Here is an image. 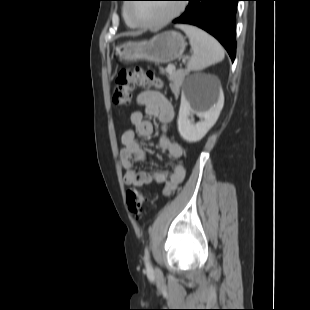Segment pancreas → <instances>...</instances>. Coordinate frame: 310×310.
<instances>
[{
    "label": "pancreas",
    "mask_w": 310,
    "mask_h": 310,
    "mask_svg": "<svg viewBox=\"0 0 310 310\" xmlns=\"http://www.w3.org/2000/svg\"><path fill=\"white\" fill-rule=\"evenodd\" d=\"M186 73L184 71L169 72L170 88L175 96L179 95L180 87L184 81Z\"/></svg>",
    "instance_id": "obj_1"
}]
</instances>
